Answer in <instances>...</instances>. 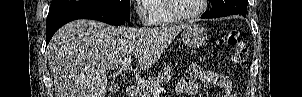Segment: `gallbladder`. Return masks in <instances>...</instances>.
<instances>
[{
	"instance_id": "1",
	"label": "gallbladder",
	"mask_w": 302,
	"mask_h": 97,
	"mask_svg": "<svg viewBox=\"0 0 302 97\" xmlns=\"http://www.w3.org/2000/svg\"><path fill=\"white\" fill-rule=\"evenodd\" d=\"M116 91H118L117 88H115V87H111V88H110V92H116Z\"/></svg>"
}]
</instances>
